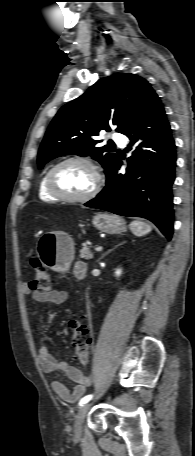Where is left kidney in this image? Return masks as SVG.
<instances>
[{"label": "left kidney", "mask_w": 195, "mask_h": 456, "mask_svg": "<svg viewBox=\"0 0 195 456\" xmlns=\"http://www.w3.org/2000/svg\"><path fill=\"white\" fill-rule=\"evenodd\" d=\"M121 274H122V270H121V269H117V270L115 271V276H116V277H119Z\"/></svg>", "instance_id": "obj_1"}]
</instances>
